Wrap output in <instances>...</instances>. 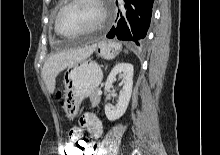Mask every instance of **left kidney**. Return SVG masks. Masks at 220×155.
Wrapping results in <instances>:
<instances>
[{
	"instance_id": "1",
	"label": "left kidney",
	"mask_w": 220,
	"mask_h": 155,
	"mask_svg": "<svg viewBox=\"0 0 220 155\" xmlns=\"http://www.w3.org/2000/svg\"><path fill=\"white\" fill-rule=\"evenodd\" d=\"M133 65L130 63H118L111 70L106 83H105V93L109 92L112 88V84L116 78H123V88L120 91L119 99L115 107H110L105 105V114L109 121H115L119 119L126 111L132 93L133 87Z\"/></svg>"
}]
</instances>
